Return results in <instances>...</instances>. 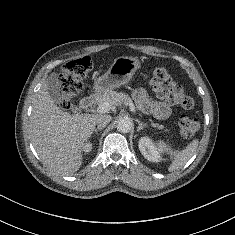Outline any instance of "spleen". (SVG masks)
<instances>
[{
    "instance_id": "spleen-1",
    "label": "spleen",
    "mask_w": 235,
    "mask_h": 235,
    "mask_svg": "<svg viewBox=\"0 0 235 235\" xmlns=\"http://www.w3.org/2000/svg\"><path fill=\"white\" fill-rule=\"evenodd\" d=\"M199 141L197 139H194L192 142H190L187 147L182 151H175L172 149L171 146L166 144L163 141L158 142V151L161 153H167L173 158V161L171 165L169 166V171H175L182 167L195 153L197 147H198Z\"/></svg>"
}]
</instances>
